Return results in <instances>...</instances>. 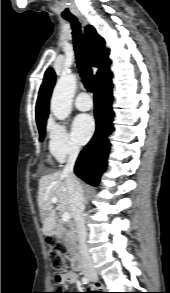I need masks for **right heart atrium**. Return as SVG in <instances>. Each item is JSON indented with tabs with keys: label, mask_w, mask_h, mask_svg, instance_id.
Returning a JSON list of instances; mask_svg holds the SVG:
<instances>
[{
	"label": "right heart atrium",
	"mask_w": 170,
	"mask_h": 293,
	"mask_svg": "<svg viewBox=\"0 0 170 293\" xmlns=\"http://www.w3.org/2000/svg\"><path fill=\"white\" fill-rule=\"evenodd\" d=\"M48 150L57 161L63 162L77 155L80 148L63 123L52 121L48 128Z\"/></svg>",
	"instance_id": "1"
}]
</instances>
